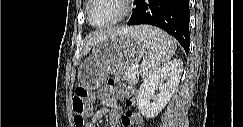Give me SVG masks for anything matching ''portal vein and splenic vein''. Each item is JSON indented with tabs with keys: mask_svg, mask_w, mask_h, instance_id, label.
I'll list each match as a JSON object with an SVG mask.
<instances>
[{
	"mask_svg": "<svg viewBox=\"0 0 243 127\" xmlns=\"http://www.w3.org/2000/svg\"><path fill=\"white\" fill-rule=\"evenodd\" d=\"M133 72H134V73H136V72H137L135 67L133 68Z\"/></svg>",
	"mask_w": 243,
	"mask_h": 127,
	"instance_id": "1",
	"label": "portal vein and splenic vein"
}]
</instances>
